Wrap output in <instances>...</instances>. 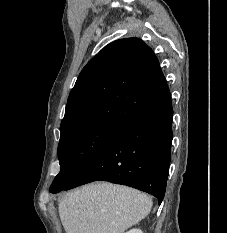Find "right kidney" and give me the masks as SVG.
Returning <instances> with one entry per match:
<instances>
[{
  "label": "right kidney",
  "mask_w": 227,
  "mask_h": 233,
  "mask_svg": "<svg viewBox=\"0 0 227 233\" xmlns=\"http://www.w3.org/2000/svg\"><path fill=\"white\" fill-rule=\"evenodd\" d=\"M126 233H143V232L140 229L134 228V229L129 230Z\"/></svg>",
  "instance_id": "1"
}]
</instances>
